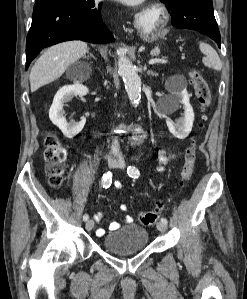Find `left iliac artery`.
<instances>
[{
  "label": "left iliac artery",
  "mask_w": 247,
  "mask_h": 299,
  "mask_svg": "<svg viewBox=\"0 0 247 299\" xmlns=\"http://www.w3.org/2000/svg\"><path fill=\"white\" fill-rule=\"evenodd\" d=\"M127 173L132 178H138V176L140 175L138 168H136L135 166H129L127 169ZM161 221L165 224L168 223V221L165 217H162Z\"/></svg>",
  "instance_id": "44dca946"
}]
</instances>
